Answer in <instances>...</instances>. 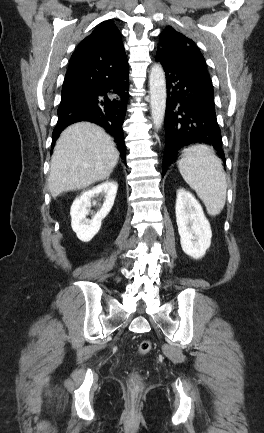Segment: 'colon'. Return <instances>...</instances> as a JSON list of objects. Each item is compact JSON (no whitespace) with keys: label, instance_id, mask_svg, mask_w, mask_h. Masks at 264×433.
I'll use <instances>...</instances> for the list:
<instances>
[{"label":"colon","instance_id":"obj_1","mask_svg":"<svg viewBox=\"0 0 264 433\" xmlns=\"http://www.w3.org/2000/svg\"><path fill=\"white\" fill-rule=\"evenodd\" d=\"M151 350H152V343L149 340H142L138 344V353L140 355H146V354L150 353ZM132 383L136 386L139 385L140 379H139V376L137 374L132 375Z\"/></svg>","mask_w":264,"mask_h":433}]
</instances>
